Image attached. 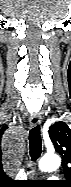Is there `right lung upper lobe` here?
Returning <instances> with one entry per match:
<instances>
[{"label": "right lung upper lobe", "instance_id": "right-lung-upper-lobe-1", "mask_svg": "<svg viewBox=\"0 0 71 187\" xmlns=\"http://www.w3.org/2000/svg\"><path fill=\"white\" fill-rule=\"evenodd\" d=\"M6 129H7V127H2V128L0 129V133L2 134Z\"/></svg>", "mask_w": 71, "mask_h": 187}]
</instances>
